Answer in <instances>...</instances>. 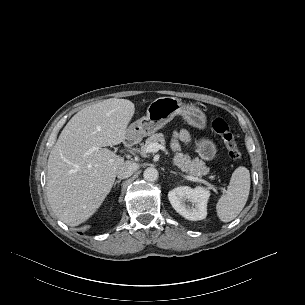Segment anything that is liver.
Instances as JSON below:
<instances>
[{
	"instance_id": "6515ba94",
	"label": "liver",
	"mask_w": 305,
	"mask_h": 305,
	"mask_svg": "<svg viewBox=\"0 0 305 305\" xmlns=\"http://www.w3.org/2000/svg\"><path fill=\"white\" fill-rule=\"evenodd\" d=\"M134 113L130 100L106 99L80 110L59 135L48 158L46 190L52 210L67 225L86 222L110 192L124 160L104 147L126 139Z\"/></svg>"
}]
</instances>
